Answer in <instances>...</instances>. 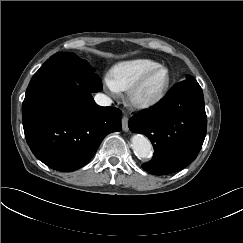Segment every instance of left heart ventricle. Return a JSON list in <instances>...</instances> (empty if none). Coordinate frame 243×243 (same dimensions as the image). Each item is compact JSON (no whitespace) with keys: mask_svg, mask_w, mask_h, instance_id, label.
I'll return each instance as SVG.
<instances>
[{"mask_svg":"<svg viewBox=\"0 0 243 243\" xmlns=\"http://www.w3.org/2000/svg\"><path fill=\"white\" fill-rule=\"evenodd\" d=\"M165 74L163 72L155 73L146 83L142 90V94L147 95L156 91L163 82Z\"/></svg>","mask_w":243,"mask_h":243,"instance_id":"1","label":"left heart ventricle"}]
</instances>
